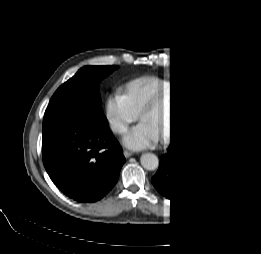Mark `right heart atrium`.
Segmentation results:
<instances>
[{
    "label": "right heart atrium",
    "mask_w": 261,
    "mask_h": 254,
    "mask_svg": "<svg viewBox=\"0 0 261 254\" xmlns=\"http://www.w3.org/2000/svg\"><path fill=\"white\" fill-rule=\"evenodd\" d=\"M106 115L109 126L115 133H123L138 116L123 93L115 94L108 100Z\"/></svg>",
    "instance_id": "d8ad5b80"
}]
</instances>
